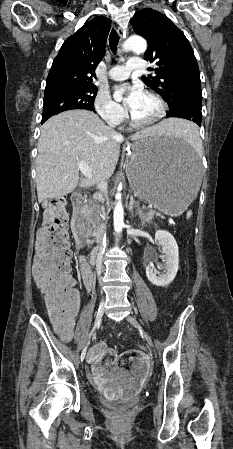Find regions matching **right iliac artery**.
Instances as JSON below:
<instances>
[{"mask_svg": "<svg viewBox=\"0 0 233 449\" xmlns=\"http://www.w3.org/2000/svg\"><path fill=\"white\" fill-rule=\"evenodd\" d=\"M100 321H101V320H99L98 322H96V323L94 324V327H93L92 332H91V334H90L89 337H91V335L93 334V332H94V330L96 329V327L99 326ZM86 351H87V347H85V348L83 349L82 353H81V360H82V361H83V359L85 358Z\"/></svg>", "mask_w": 233, "mask_h": 449, "instance_id": "obj_1", "label": "right iliac artery"}]
</instances>
